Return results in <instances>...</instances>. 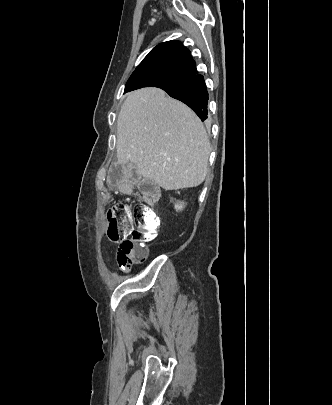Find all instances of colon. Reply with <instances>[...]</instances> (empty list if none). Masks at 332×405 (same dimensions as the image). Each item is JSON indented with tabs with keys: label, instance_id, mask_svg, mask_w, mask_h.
<instances>
[{
	"label": "colon",
	"instance_id": "obj_1",
	"mask_svg": "<svg viewBox=\"0 0 332 405\" xmlns=\"http://www.w3.org/2000/svg\"><path fill=\"white\" fill-rule=\"evenodd\" d=\"M140 191L149 201L159 196L157 187L143 180ZM107 236L119 243L117 262L120 268L129 269L144 262L147 258L145 241L154 237L160 227L158 214L145 203H119L107 214Z\"/></svg>",
	"mask_w": 332,
	"mask_h": 405
}]
</instances>
